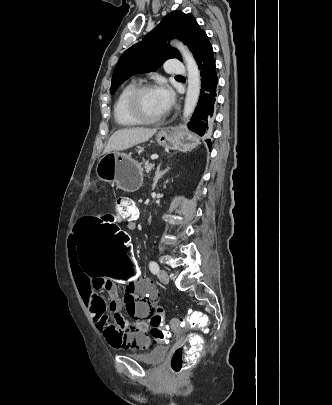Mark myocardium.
Segmentation results:
<instances>
[{"label": "myocardium", "instance_id": "obj_1", "mask_svg": "<svg viewBox=\"0 0 332 405\" xmlns=\"http://www.w3.org/2000/svg\"><path fill=\"white\" fill-rule=\"evenodd\" d=\"M157 89V87L154 84H143L138 86L133 90V92L130 94L127 100V112L128 114L136 120L140 124H153L162 121L166 116L167 112L161 116L154 117V118H149L146 117L141 109V98L144 93L150 90Z\"/></svg>", "mask_w": 332, "mask_h": 405}]
</instances>
